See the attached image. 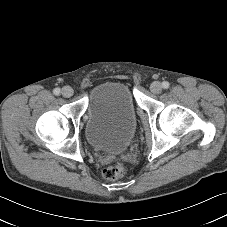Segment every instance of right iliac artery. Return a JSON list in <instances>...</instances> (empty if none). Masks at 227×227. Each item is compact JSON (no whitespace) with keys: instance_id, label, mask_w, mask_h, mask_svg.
<instances>
[{"instance_id":"obj_1","label":"right iliac artery","mask_w":227,"mask_h":227,"mask_svg":"<svg viewBox=\"0 0 227 227\" xmlns=\"http://www.w3.org/2000/svg\"><path fill=\"white\" fill-rule=\"evenodd\" d=\"M60 88H55L54 90H53V93L55 94V95H59L60 94Z\"/></svg>"}]
</instances>
